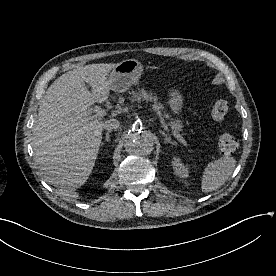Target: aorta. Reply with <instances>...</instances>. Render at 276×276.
<instances>
[{
  "label": "aorta",
  "mask_w": 276,
  "mask_h": 276,
  "mask_svg": "<svg viewBox=\"0 0 276 276\" xmlns=\"http://www.w3.org/2000/svg\"><path fill=\"white\" fill-rule=\"evenodd\" d=\"M154 146V140L149 133L140 131L136 128L129 130L125 143V149L130 154L136 156L149 155Z\"/></svg>",
  "instance_id": "762f6f07"
}]
</instances>
